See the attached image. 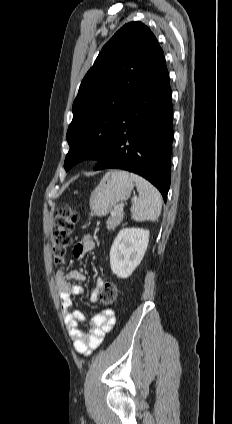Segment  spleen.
Wrapping results in <instances>:
<instances>
[{"label": "spleen", "mask_w": 232, "mask_h": 424, "mask_svg": "<svg viewBox=\"0 0 232 424\" xmlns=\"http://www.w3.org/2000/svg\"><path fill=\"white\" fill-rule=\"evenodd\" d=\"M136 183L139 198L131 207V218L135 221H157L162 208L160 192L143 177L131 173Z\"/></svg>", "instance_id": "obj_1"}]
</instances>
